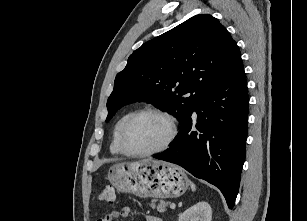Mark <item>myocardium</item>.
Listing matches in <instances>:
<instances>
[{
  "label": "myocardium",
  "mask_w": 307,
  "mask_h": 221,
  "mask_svg": "<svg viewBox=\"0 0 307 221\" xmlns=\"http://www.w3.org/2000/svg\"><path fill=\"white\" fill-rule=\"evenodd\" d=\"M144 114H154L157 116L162 117L168 124L169 127V132L168 135L166 137V139L164 140V142L149 151H145V152H133L131 150H129L126 146L125 143V137L127 134V131L129 129V127L131 126V124L140 116L144 115ZM178 132V124H177V120L176 118L170 114L169 112L163 110V109H159V108H154V107H147V108H143L140 110H137L135 112H133L124 122V124L121 127L120 133H119V137H118V145L120 148V151L129 157H148V156H152L155 155L157 153H160L164 150H166L171 143L174 141L176 135Z\"/></svg>",
  "instance_id": "myocardium-1"
}]
</instances>
